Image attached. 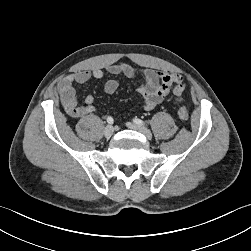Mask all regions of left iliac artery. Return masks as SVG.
I'll return each instance as SVG.
<instances>
[{
    "instance_id": "1",
    "label": "left iliac artery",
    "mask_w": 251,
    "mask_h": 251,
    "mask_svg": "<svg viewBox=\"0 0 251 251\" xmlns=\"http://www.w3.org/2000/svg\"><path fill=\"white\" fill-rule=\"evenodd\" d=\"M133 122L136 123L137 125L147 126V124L144 121H142L141 119H138V118H134Z\"/></svg>"
}]
</instances>
